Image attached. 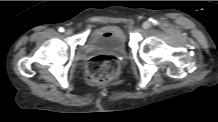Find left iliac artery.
<instances>
[{"mask_svg":"<svg viewBox=\"0 0 218 122\" xmlns=\"http://www.w3.org/2000/svg\"><path fill=\"white\" fill-rule=\"evenodd\" d=\"M150 21H151V22H153V23H156V21H155V20H153L152 18H150Z\"/></svg>","mask_w":218,"mask_h":122,"instance_id":"obj_1","label":"left iliac artery"}]
</instances>
